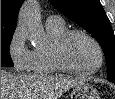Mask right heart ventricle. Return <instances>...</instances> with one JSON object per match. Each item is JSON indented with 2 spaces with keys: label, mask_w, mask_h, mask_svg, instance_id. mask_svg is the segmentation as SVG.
Segmentation results:
<instances>
[{
  "label": "right heart ventricle",
  "mask_w": 115,
  "mask_h": 99,
  "mask_svg": "<svg viewBox=\"0 0 115 99\" xmlns=\"http://www.w3.org/2000/svg\"><path fill=\"white\" fill-rule=\"evenodd\" d=\"M47 43L32 50L29 70L37 75H47L63 71L54 61L53 48L59 37L68 28L63 21L46 22Z\"/></svg>",
  "instance_id": "right-heart-ventricle-1"
}]
</instances>
